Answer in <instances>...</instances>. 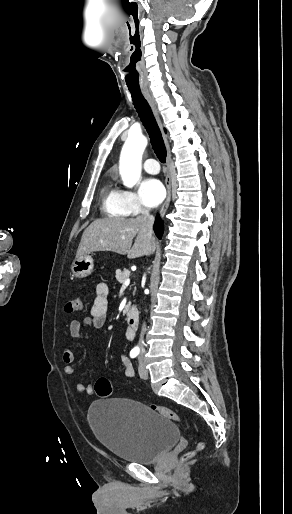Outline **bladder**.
<instances>
[{
  "mask_svg": "<svg viewBox=\"0 0 292 514\" xmlns=\"http://www.w3.org/2000/svg\"><path fill=\"white\" fill-rule=\"evenodd\" d=\"M87 419L97 440L126 462L153 463L179 439L173 421L131 399L95 401L89 406Z\"/></svg>",
  "mask_w": 292,
  "mask_h": 514,
  "instance_id": "obj_1",
  "label": "bladder"
}]
</instances>
